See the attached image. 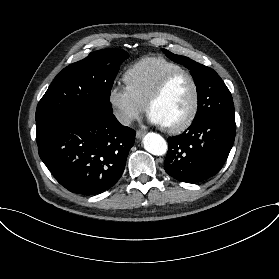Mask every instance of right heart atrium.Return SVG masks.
Instances as JSON below:
<instances>
[{
  "instance_id": "right-heart-atrium-1",
  "label": "right heart atrium",
  "mask_w": 279,
  "mask_h": 279,
  "mask_svg": "<svg viewBox=\"0 0 279 279\" xmlns=\"http://www.w3.org/2000/svg\"><path fill=\"white\" fill-rule=\"evenodd\" d=\"M108 101L115 110L117 121L125 126L146 110V102L128 84H113L108 91Z\"/></svg>"
}]
</instances>
